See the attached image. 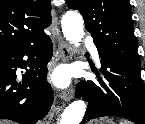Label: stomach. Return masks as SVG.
Wrapping results in <instances>:
<instances>
[{
    "label": "stomach",
    "mask_w": 145,
    "mask_h": 124,
    "mask_svg": "<svg viewBox=\"0 0 145 124\" xmlns=\"http://www.w3.org/2000/svg\"><path fill=\"white\" fill-rule=\"evenodd\" d=\"M95 124H114L111 120H106V121H100L99 123Z\"/></svg>",
    "instance_id": "stomach-1"
}]
</instances>
